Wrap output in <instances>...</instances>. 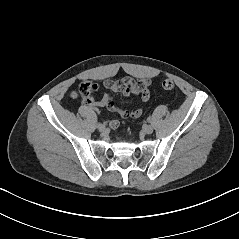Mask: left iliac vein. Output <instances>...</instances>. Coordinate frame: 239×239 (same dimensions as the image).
Wrapping results in <instances>:
<instances>
[{"label": "left iliac vein", "mask_w": 239, "mask_h": 239, "mask_svg": "<svg viewBox=\"0 0 239 239\" xmlns=\"http://www.w3.org/2000/svg\"><path fill=\"white\" fill-rule=\"evenodd\" d=\"M143 132L145 134H151L153 132V127L151 125H146L144 128H143Z\"/></svg>", "instance_id": "1"}]
</instances>
